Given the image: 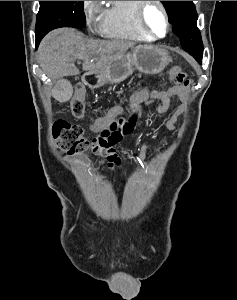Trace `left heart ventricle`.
Segmentation results:
<instances>
[{
	"label": "left heart ventricle",
	"instance_id": "b2bd125f",
	"mask_svg": "<svg viewBox=\"0 0 237 300\" xmlns=\"http://www.w3.org/2000/svg\"><path fill=\"white\" fill-rule=\"evenodd\" d=\"M147 22L149 26L159 35H163L166 29L163 15L160 9L151 5L147 11Z\"/></svg>",
	"mask_w": 237,
	"mask_h": 300
}]
</instances>
